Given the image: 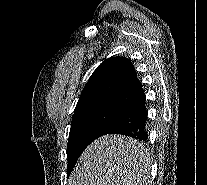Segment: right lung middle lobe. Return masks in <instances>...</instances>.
Instances as JSON below:
<instances>
[{
	"label": "right lung middle lobe",
	"instance_id": "1",
	"mask_svg": "<svg viewBox=\"0 0 207 185\" xmlns=\"http://www.w3.org/2000/svg\"><path fill=\"white\" fill-rule=\"evenodd\" d=\"M122 112L118 109L99 107L73 115L67 144L68 176L84 149L100 137Z\"/></svg>",
	"mask_w": 207,
	"mask_h": 185
}]
</instances>
